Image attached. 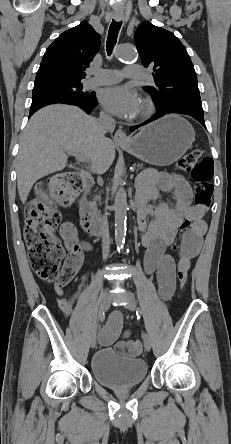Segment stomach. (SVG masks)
Returning <instances> with one entry per match:
<instances>
[{
  "label": "stomach",
  "instance_id": "0dacf381",
  "mask_svg": "<svg viewBox=\"0 0 231 444\" xmlns=\"http://www.w3.org/2000/svg\"><path fill=\"white\" fill-rule=\"evenodd\" d=\"M194 140L191 124L179 115L170 114L145 126L128 144L120 146L146 163L167 166L180 159Z\"/></svg>",
  "mask_w": 231,
  "mask_h": 444
}]
</instances>
